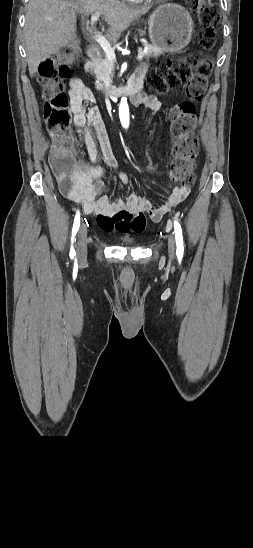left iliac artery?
I'll list each match as a JSON object with an SVG mask.
<instances>
[{
    "mask_svg": "<svg viewBox=\"0 0 253 548\" xmlns=\"http://www.w3.org/2000/svg\"><path fill=\"white\" fill-rule=\"evenodd\" d=\"M174 232L177 245L176 254L178 258H182L184 252L182 229L179 222L176 220L174 221Z\"/></svg>",
    "mask_w": 253,
    "mask_h": 548,
    "instance_id": "1",
    "label": "left iliac artery"
}]
</instances>
